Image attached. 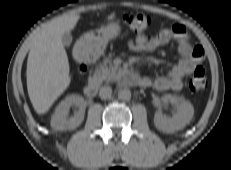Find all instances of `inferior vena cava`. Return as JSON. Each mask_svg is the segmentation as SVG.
<instances>
[{
  "instance_id": "inferior-vena-cava-1",
  "label": "inferior vena cava",
  "mask_w": 231,
  "mask_h": 170,
  "mask_svg": "<svg viewBox=\"0 0 231 170\" xmlns=\"http://www.w3.org/2000/svg\"><path fill=\"white\" fill-rule=\"evenodd\" d=\"M112 88L109 86L101 87L99 90V96L101 99H108L111 97Z\"/></svg>"
}]
</instances>
